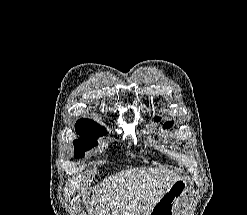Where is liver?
Returning <instances> with one entry per match:
<instances>
[{
  "label": "liver",
  "mask_w": 247,
  "mask_h": 215,
  "mask_svg": "<svg viewBox=\"0 0 247 215\" xmlns=\"http://www.w3.org/2000/svg\"><path fill=\"white\" fill-rule=\"evenodd\" d=\"M178 179L166 169L139 167L122 170L97 184L88 210L95 215H147L165 189Z\"/></svg>",
  "instance_id": "obj_1"
}]
</instances>
